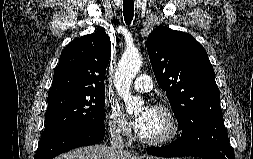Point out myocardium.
I'll list each match as a JSON object with an SVG mask.
<instances>
[{
  "mask_svg": "<svg viewBox=\"0 0 253 159\" xmlns=\"http://www.w3.org/2000/svg\"><path fill=\"white\" fill-rule=\"evenodd\" d=\"M153 108L164 114L168 122L169 130L164 136L159 138H148L138 132L137 135L139 140L144 144L153 146H162L173 142L180 133V125L176 116L172 110L165 105L156 104Z\"/></svg>",
  "mask_w": 253,
  "mask_h": 159,
  "instance_id": "1",
  "label": "myocardium"
}]
</instances>
